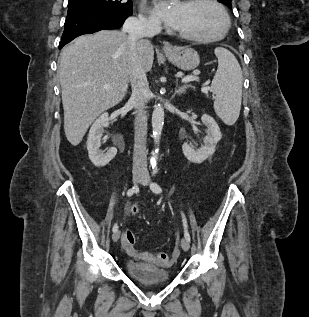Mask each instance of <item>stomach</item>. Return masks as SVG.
I'll list each match as a JSON object with an SVG mask.
<instances>
[{"mask_svg": "<svg viewBox=\"0 0 309 317\" xmlns=\"http://www.w3.org/2000/svg\"><path fill=\"white\" fill-rule=\"evenodd\" d=\"M166 57L179 69L189 71L198 67L200 57L192 48L174 47L171 51L165 52Z\"/></svg>", "mask_w": 309, "mask_h": 317, "instance_id": "obj_1", "label": "stomach"}]
</instances>
